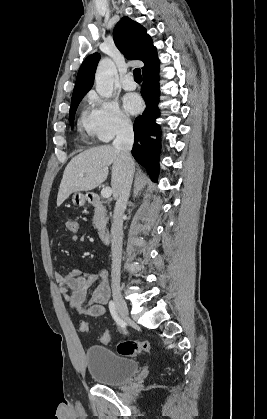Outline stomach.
<instances>
[{
	"mask_svg": "<svg viewBox=\"0 0 267 419\" xmlns=\"http://www.w3.org/2000/svg\"><path fill=\"white\" fill-rule=\"evenodd\" d=\"M87 199L88 194H82L80 192H75L72 196V202L75 206H84Z\"/></svg>",
	"mask_w": 267,
	"mask_h": 419,
	"instance_id": "1",
	"label": "stomach"
}]
</instances>
